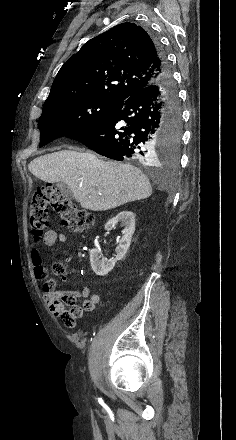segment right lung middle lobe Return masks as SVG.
Here are the masks:
<instances>
[{
	"mask_svg": "<svg viewBox=\"0 0 236 440\" xmlns=\"http://www.w3.org/2000/svg\"><path fill=\"white\" fill-rule=\"evenodd\" d=\"M119 104L91 97L45 102L38 122L41 133L39 147L58 137H70L93 127L110 116ZM180 139L181 126L165 129L158 142L162 149L160 157L175 163Z\"/></svg>",
	"mask_w": 236,
	"mask_h": 440,
	"instance_id": "1",
	"label": "right lung middle lobe"
}]
</instances>
